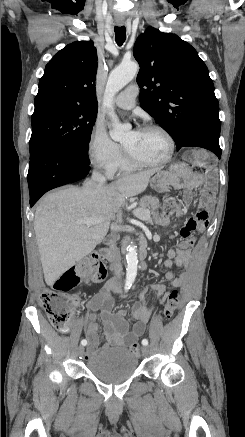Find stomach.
Returning a JSON list of instances; mask_svg holds the SVG:
<instances>
[{
  "mask_svg": "<svg viewBox=\"0 0 245 437\" xmlns=\"http://www.w3.org/2000/svg\"><path fill=\"white\" fill-rule=\"evenodd\" d=\"M191 183L192 171L185 163H176L168 170H159L151 179V186L158 193L167 192L171 187L186 188Z\"/></svg>",
  "mask_w": 245,
  "mask_h": 437,
  "instance_id": "obj_1",
  "label": "stomach"
}]
</instances>
